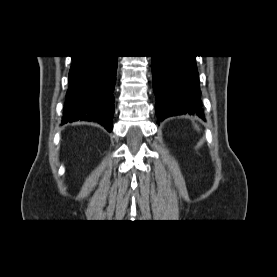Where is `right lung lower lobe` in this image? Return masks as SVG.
Returning <instances> with one entry per match:
<instances>
[{
	"mask_svg": "<svg viewBox=\"0 0 277 277\" xmlns=\"http://www.w3.org/2000/svg\"><path fill=\"white\" fill-rule=\"evenodd\" d=\"M116 70L117 56H72L62 124L94 121L111 132Z\"/></svg>",
	"mask_w": 277,
	"mask_h": 277,
	"instance_id": "obj_1",
	"label": "right lung lower lobe"
}]
</instances>
